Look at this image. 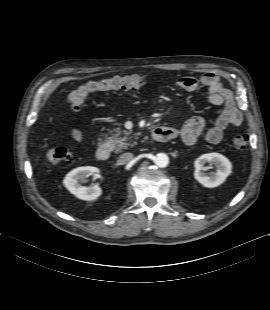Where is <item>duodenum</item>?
<instances>
[{
    "label": "duodenum",
    "mask_w": 270,
    "mask_h": 310,
    "mask_svg": "<svg viewBox=\"0 0 270 310\" xmlns=\"http://www.w3.org/2000/svg\"><path fill=\"white\" fill-rule=\"evenodd\" d=\"M152 137L157 141H170L176 137L174 129L160 126L154 129ZM96 158L105 161L110 156V150L106 145H99L95 152Z\"/></svg>",
    "instance_id": "duodenum-1"
}]
</instances>
